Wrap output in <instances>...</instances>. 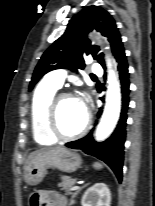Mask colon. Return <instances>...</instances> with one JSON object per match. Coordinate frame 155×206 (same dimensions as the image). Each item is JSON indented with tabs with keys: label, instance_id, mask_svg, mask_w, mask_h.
Wrapping results in <instances>:
<instances>
[{
	"label": "colon",
	"instance_id": "colon-1",
	"mask_svg": "<svg viewBox=\"0 0 155 206\" xmlns=\"http://www.w3.org/2000/svg\"><path fill=\"white\" fill-rule=\"evenodd\" d=\"M39 201H40V197L38 194H34L30 197V206H38L39 204Z\"/></svg>",
	"mask_w": 155,
	"mask_h": 206
}]
</instances>
